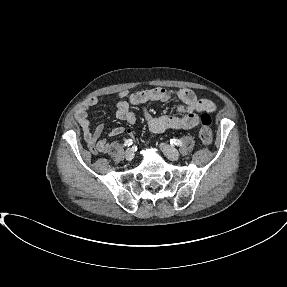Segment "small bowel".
Here are the masks:
<instances>
[{"instance_id":"1","label":"small bowel","mask_w":287,"mask_h":287,"mask_svg":"<svg viewBox=\"0 0 287 287\" xmlns=\"http://www.w3.org/2000/svg\"><path fill=\"white\" fill-rule=\"evenodd\" d=\"M173 95H176L179 99L180 103L177 106V110L183 115L180 117L170 115L155 117L144 108L143 115L151 132L158 134L166 130H189L199 125L200 120L198 113L215 111L216 107L212 101L208 99H198L191 90L181 89L172 92L163 88H152L135 93H129L128 91L121 92L119 94V100L116 103V117L119 120L133 124L136 121V117L130 110L132 105H144L153 101L166 102L170 100ZM102 100L101 97H91L80 106L75 113V119L83 131L87 147L93 154L106 152L109 148L107 139H99L103 132V124H99L95 129H92L88 119V110ZM125 132L132 135L131 130H126L123 127L111 129L108 135L113 137Z\"/></svg>"}]
</instances>
